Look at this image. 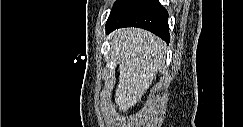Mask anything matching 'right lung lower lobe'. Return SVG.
Returning a JSON list of instances; mask_svg holds the SVG:
<instances>
[{"mask_svg":"<svg viewBox=\"0 0 243 127\" xmlns=\"http://www.w3.org/2000/svg\"><path fill=\"white\" fill-rule=\"evenodd\" d=\"M139 27L170 42L168 12L158 0H117L106 22V33Z\"/></svg>","mask_w":243,"mask_h":127,"instance_id":"right-lung-lower-lobe-1","label":"right lung lower lobe"}]
</instances>
